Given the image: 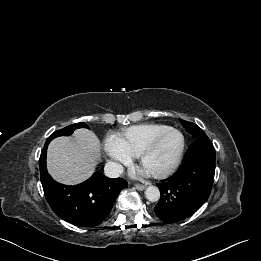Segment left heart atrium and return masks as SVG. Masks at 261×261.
I'll return each instance as SVG.
<instances>
[{
    "instance_id": "obj_1",
    "label": "left heart atrium",
    "mask_w": 261,
    "mask_h": 261,
    "mask_svg": "<svg viewBox=\"0 0 261 261\" xmlns=\"http://www.w3.org/2000/svg\"><path fill=\"white\" fill-rule=\"evenodd\" d=\"M140 173H141L142 175H147V174H149V172L146 171V170H144V169H141V170H140Z\"/></svg>"
}]
</instances>
